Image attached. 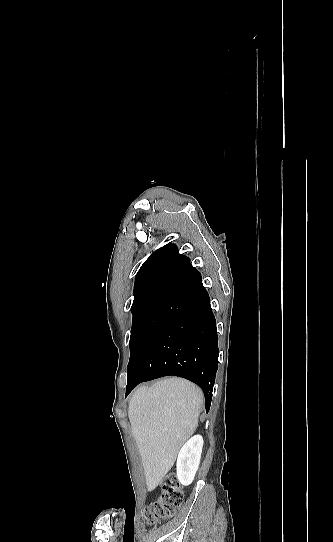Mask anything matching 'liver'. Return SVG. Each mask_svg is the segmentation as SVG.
Listing matches in <instances>:
<instances>
[{"mask_svg":"<svg viewBox=\"0 0 333 542\" xmlns=\"http://www.w3.org/2000/svg\"><path fill=\"white\" fill-rule=\"evenodd\" d=\"M203 394L182 378H164L134 392L128 408L133 438L141 456L147 492L170 472L183 444L193 436Z\"/></svg>","mask_w":333,"mask_h":542,"instance_id":"6515ba94","label":"liver"}]
</instances>
